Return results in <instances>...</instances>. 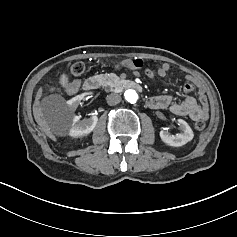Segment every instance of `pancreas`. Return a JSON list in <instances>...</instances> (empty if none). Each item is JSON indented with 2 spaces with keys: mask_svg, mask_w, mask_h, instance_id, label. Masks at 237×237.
Returning a JSON list of instances; mask_svg holds the SVG:
<instances>
[{
  "mask_svg": "<svg viewBox=\"0 0 237 237\" xmlns=\"http://www.w3.org/2000/svg\"><path fill=\"white\" fill-rule=\"evenodd\" d=\"M102 85L104 87H109L110 89H114L121 85V80L114 73L104 74L102 78Z\"/></svg>",
  "mask_w": 237,
  "mask_h": 237,
  "instance_id": "1",
  "label": "pancreas"
}]
</instances>
